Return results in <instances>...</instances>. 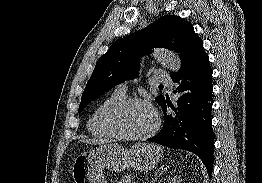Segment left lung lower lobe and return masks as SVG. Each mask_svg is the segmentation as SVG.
<instances>
[{
	"label": "left lung lower lobe",
	"instance_id": "1",
	"mask_svg": "<svg viewBox=\"0 0 262 183\" xmlns=\"http://www.w3.org/2000/svg\"><path fill=\"white\" fill-rule=\"evenodd\" d=\"M179 86L176 108L164 100L160 104L165 117L161 131L147 139L163 146L184 149L196 154L206 166L209 176L213 169L214 132L211 108L212 69L204 48L195 53L180 69L171 75ZM167 105L174 114H167Z\"/></svg>",
	"mask_w": 262,
	"mask_h": 183
}]
</instances>
